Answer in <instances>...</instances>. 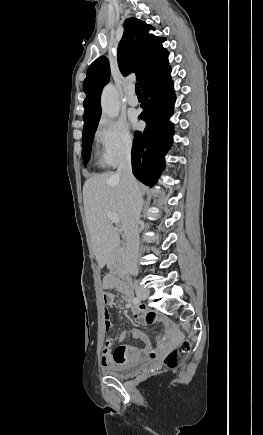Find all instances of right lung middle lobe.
I'll return each instance as SVG.
<instances>
[{
  "label": "right lung middle lobe",
  "instance_id": "obj_1",
  "mask_svg": "<svg viewBox=\"0 0 263 435\" xmlns=\"http://www.w3.org/2000/svg\"><path fill=\"white\" fill-rule=\"evenodd\" d=\"M98 123L94 126L84 129L83 130V137H82V157L84 165L88 163L90 159V153H91V145L93 142V138L95 135V131L97 129Z\"/></svg>",
  "mask_w": 263,
  "mask_h": 435
}]
</instances>
